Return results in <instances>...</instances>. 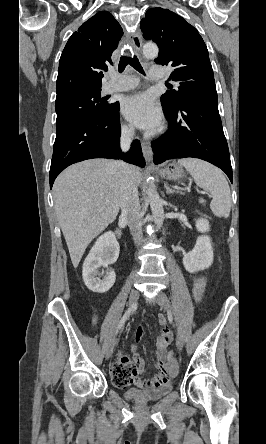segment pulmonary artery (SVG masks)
<instances>
[{
    "instance_id": "e3ab8cb5",
    "label": "pulmonary artery",
    "mask_w": 266,
    "mask_h": 444,
    "mask_svg": "<svg viewBox=\"0 0 266 444\" xmlns=\"http://www.w3.org/2000/svg\"><path fill=\"white\" fill-rule=\"evenodd\" d=\"M112 76H116L114 72L111 73ZM149 76L152 79L158 80L163 79L165 77V68L163 66H151L149 68ZM138 81L136 78L123 75L120 77V80H110L106 86V92H119L133 89L137 86Z\"/></svg>"
}]
</instances>
